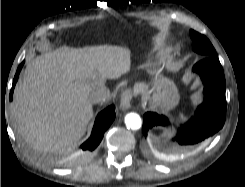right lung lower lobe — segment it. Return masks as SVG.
Listing matches in <instances>:
<instances>
[{
  "label": "right lung lower lobe",
  "instance_id": "98d812e1",
  "mask_svg": "<svg viewBox=\"0 0 245 187\" xmlns=\"http://www.w3.org/2000/svg\"><path fill=\"white\" fill-rule=\"evenodd\" d=\"M23 64L24 61L19 65L17 72L15 74L12 89L10 91V96H9L10 100H12L13 98V90L18 80V76L22 69ZM114 109H115L114 106H110L98 114L90 138L86 142H84L81 146V156H80L81 158L89 157L91 153L97 148V146L99 145V143L101 142L104 136V132L109 128V126L111 125V123L115 118Z\"/></svg>",
  "mask_w": 245,
  "mask_h": 187
}]
</instances>
